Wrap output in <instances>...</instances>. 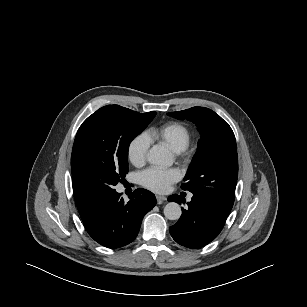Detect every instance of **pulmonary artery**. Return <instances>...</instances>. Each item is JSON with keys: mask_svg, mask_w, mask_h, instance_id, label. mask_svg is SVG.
<instances>
[{"mask_svg": "<svg viewBox=\"0 0 307 307\" xmlns=\"http://www.w3.org/2000/svg\"><path fill=\"white\" fill-rule=\"evenodd\" d=\"M188 200H191V196H189Z\"/></svg>", "mask_w": 307, "mask_h": 307, "instance_id": "obj_1", "label": "pulmonary artery"}]
</instances>
